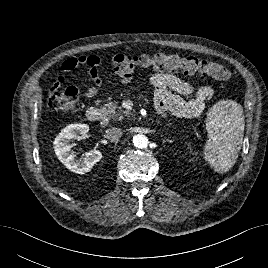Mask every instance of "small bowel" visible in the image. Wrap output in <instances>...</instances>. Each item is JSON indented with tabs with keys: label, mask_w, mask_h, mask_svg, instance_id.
Returning a JSON list of instances; mask_svg holds the SVG:
<instances>
[{
	"label": "small bowel",
	"mask_w": 268,
	"mask_h": 268,
	"mask_svg": "<svg viewBox=\"0 0 268 268\" xmlns=\"http://www.w3.org/2000/svg\"><path fill=\"white\" fill-rule=\"evenodd\" d=\"M120 55H115L112 63L120 82L131 83L133 80V68L122 69L117 66ZM84 65L88 68L92 85L85 91V97L91 99L97 96L102 88L101 78L102 63L98 56H80L69 58L62 62L61 70L64 73L74 70L77 66ZM63 81V77L60 78ZM55 83L51 90L56 87ZM150 84L154 89L155 104L162 110L170 111L173 115L181 118H195L200 116L206 104L214 97V89L209 85L194 87L189 82L168 72H154L150 76ZM191 95L192 98L184 99Z\"/></svg>",
	"instance_id": "1"
}]
</instances>
